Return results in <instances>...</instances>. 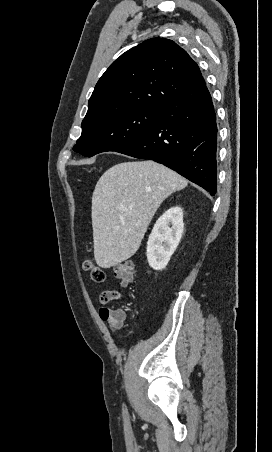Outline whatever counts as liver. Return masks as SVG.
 <instances>
[{
  "mask_svg": "<svg viewBox=\"0 0 272 452\" xmlns=\"http://www.w3.org/2000/svg\"><path fill=\"white\" fill-rule=\"evenodd\" d=\"M188 181L157 162L116 164L98 180L92 195L94 257L110 268L132 257L163 201Z\"/></svg>",
  "mask_w": 272,
  "mask_h": 452,
  "instance_id": "liver-1",
  "label": "liver"
}]
</instances>
